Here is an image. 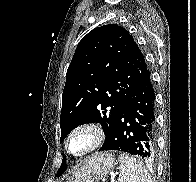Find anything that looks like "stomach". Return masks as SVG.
<instances>
[{
  "label": "stomach",
  "mask_w": 196,
  "mask_h": 182,
  "mask_svg": "<svg viewBox=\"0 0 196 182\" xmlns=\"http://www.w3.org/2000/svg\"><path fill=\"white\" fill-rule=\"evenodd\" d=\"M115 167L109 153H95L82 161L66 182H93L107 176Z\"/></svg>",
  "instance_id": "1"
}]
</instances>
